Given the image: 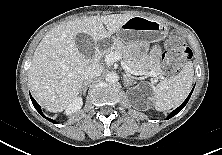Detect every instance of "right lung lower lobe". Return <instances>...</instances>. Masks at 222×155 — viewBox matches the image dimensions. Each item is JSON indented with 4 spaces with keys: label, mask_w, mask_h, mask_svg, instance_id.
<instances>
[{
    "label": "right lung lower lobe",
    "mask_w": 222,
    "mask_h": 155,
    "mask_svg": "<svg viewBox=\"0 0 222 155\" xmlns=\"http://www.w3.org/2000/svg\"><path fill=\"white\" fill-rule=\"evenodd\" d=\"M30 98H31V100H32V103H33L35 109H36L44 118H46L47 120H49V121H51V122H53V123H56L55 120H52V119L47 118L46 116H44V114H43L42 111H41V108H40L39 104L34 100V98H33L31 95H30Z\"/></svg>",
    "instance_id": "98d812e1"
}]
</instances>
